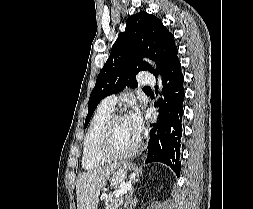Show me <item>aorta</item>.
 <instances>
[{
  "label": "aorta",
  "mask_w": 253,
  "mask_h": 209,
  "mask_svg": "<svg viewBox=\"0 0 253 209\" xmlns=\"http://www.w3.org/2000/svg\"><path fill=\"white\" fill-rule=\"evenodd\" d=\"M159 88L161 89V78H159Z\"/></svg>",
  "instance_id": "aorta-1"
}]
</instances>
